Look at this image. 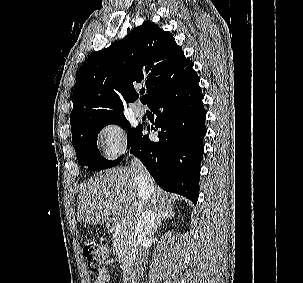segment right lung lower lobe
Here are the masks:
<instances>
[{
    "label": "right lung lower lobe",
    "mask_w": 303,
    "mask_h": 283,
    "mask_svg": "<svg viewBox=\"0 0 303 283\" xmlns=\"http://www.w3.org/2000/svg\"><path fill=\"white\" fill-rule=\"evenodd\" d=\"M198 82L195 72L152 100L148 107L155 113L156 120L151 130L161 129L159 141L143 136L142 126L131 146V153L142 161L162 189L180 194L194 204L199 196L203 137L207 132Z\"/></svg>",
    "instance_id": "obj_1"
}]
</instances>
